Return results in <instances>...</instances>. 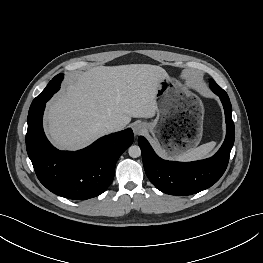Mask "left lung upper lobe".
I'll return each instance as SVG.
<instances>
[{
	"mask_svg": "<svg viewBox=\"0 0 263 263\" xmlns=\"http://www.w3.org/2000/svg\"><path fill=\"white\" fill-rule=\"evenodd\" d=\"M210 87L213 88V87H219V86L216 84V82L213 79H211Z\"/></svg>",
	"mask_w": 263,
	"mask_h": 263,
	"instance_id": "1",
	"label": "left lung upper lobe"
}]
</instances>
